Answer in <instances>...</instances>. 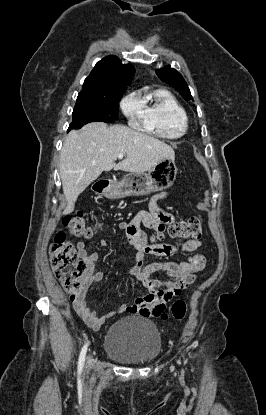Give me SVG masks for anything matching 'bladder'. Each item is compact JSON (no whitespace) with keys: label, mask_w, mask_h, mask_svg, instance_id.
<instances>
[{"label":"bladder","mask_w":266,"mask_h":415,"mask_svg":"<svg viewBox=\"0 0 266 415\" xmlns=\"http://www.w3.org/2000/svg\"><path fill=\"white\" fill-rule=\"evenodd\" d=\"M161 349L159 330L142 317L116 321L109 327L104 340L105 353L124 364H149L158 358Z\"/></svg>","instance_id":"obj_1"}]
</instances>
